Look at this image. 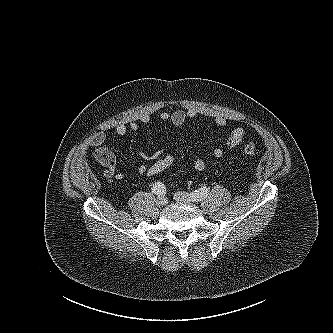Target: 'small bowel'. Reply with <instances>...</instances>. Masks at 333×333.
Returning a JSON list of instances; mask_svg holds the SVG:
<instances>
[{
	"label": "small bowel",
	"instance_id": "1",
	"mask_svg": "<svg viewBox=\"0 0 333 333\" xmlns=\"http://www.w3.org/2000/svg\"><path fill=\"white\" fill-rule=\"evenodd\" d=\"M159 117L163 122H170L174 127H181L187 120L195 118L196 112L194 110L183 111L180 109L174 110L172 112L162 111L159 114ZM214 123L218 127H224L226 125V120L222 116H217L214 119ZM137 129L138 124L135 122L129 125L119 124L115 128V133L117 136L122 137L125 136L129 130L137 131ZM244 137V128H234L226 140V149L229 151L234 150L242 143ZM105 140L106 135L104 132H97L92 136L90 145L94 148V158L103 167V176L106 179L122 180L124 178V174L116 170V157L114 153L104 145ZM162 154H164V150L162 149L156 150L152 153L142 151L140 153V158L146 162H149L154 161ZM212 154L216 159H220L224 156L225 150L220 147H216L213 149ZM193 167L197 172H202L206 168V162L203 158H197L193 164ZM146 169L147 166L142 164L138 167V172L140 174H145Z\"/></svg>",
	"mask_w": 333,
	"mask_h": 333
}]
</instances>
